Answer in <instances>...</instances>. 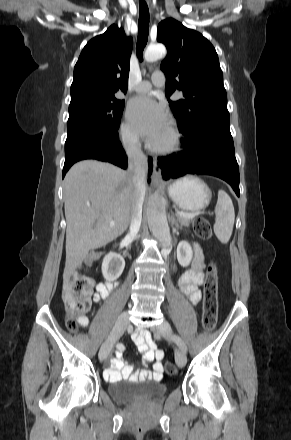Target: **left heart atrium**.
Wrapping results in <instances>:
<instances>
[{
  "instance_id": "left-heart-atrium-1",
  "label": "left heart atrium",
  "mask_w": 291,
  "mask_h": 440,
  "mask_svg": "<svg viewBox=\"0 0 291 440\" xmlns=\"http://www.w3.org/2000/svg\"><path fill=\"white\" fill-rule=\"evenodd\" d=\"M134 131L151 142L158 140L169 128L165 107L147 95L134 98L127 111Z\"/></svg>"
}]
</instances>
